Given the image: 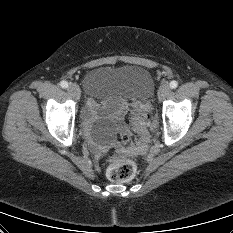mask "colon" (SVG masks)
<instances>
[{
    "label": "colon",
    "instance_id": "obj_1",
    "mask_svg": "<svg viewBox=\"0 0 233 233\" xmlns=\"http://www.w3.org/2000/svg\"><path fill=\"white\" fill-rule=\"evenodd\" d=\"M150 105H141L134 116L133 125L138 138L132 145L133 151L143 150L149 142L148 125L150 120ZM136 173V164L129 159L113 158L107 168V176L115 182H124L132 179Z\"/></svg>",
    "mask_w": 233,
    "mask_h": 233
}]
</instances>
